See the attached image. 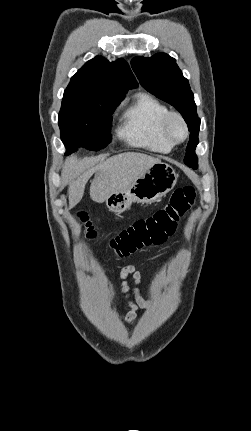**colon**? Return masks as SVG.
<instances>
[{"instance_id":"5ec220e1","label":"colon","mask_w":251,"mask_h":431,"mask_svg":"<svg viewBox=\"0 0 251 431\" xmlns=\"http://www.w3.org/2000/svg\"><path fill=\"white\" fill-rule=\"evenodd\" d=\"M196 193L192 186L177 188L169 202L153 215L136 220L110 240L109 246L119 258H125L151 245L164 243L175 232L177 223L194 205ZM79 232L87 239L96 237V231L86 214L79 215Z\"/></svg>"}]
</instances>
